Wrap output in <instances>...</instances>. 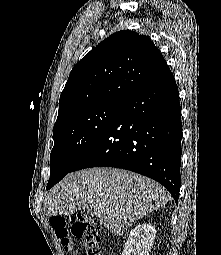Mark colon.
I'll use <instances>...</instances> for the list:
<instances>
[{"label": "colon", "instance_id": "colon-1", "mask_svg": "<svg viewBox=\"0 0 221 255\" xmlns=\"http://www.w3.org/2000/svg\"><path fill=\"white\" fill-rule=\"evenodd\" d=\"M50 224L65 251L73 252L72 235H74L82 240L86 255H102L99 245L100 226L95 219L80 215L69 218L55 215L50 218Z\"/></svg>", "mask_w": 221, "mask_h": 255}]
</instances>
